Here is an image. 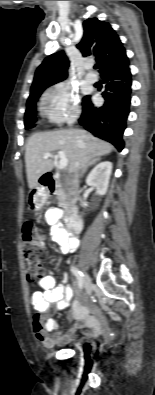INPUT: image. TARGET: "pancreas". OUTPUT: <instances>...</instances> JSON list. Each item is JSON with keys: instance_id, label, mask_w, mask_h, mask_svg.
<instances>
[{"instance_id": "pancreas-1", "label": "pancreas", "mask_w": 155, "mask_h": 395, "mask_svg": "<svg viewBox=\"0 0 155 395\" xmlns=\"http://www.w3.org/2000/svg\"><path fill=\"white\" fill-rule=\"evenodd\" d=\"M55 195L57 196V199L59 201V206L66 208L67 207V197L68 195L66 194L65 189L59 188L58 190H56Z\"/></svg>"}]
</instances>
